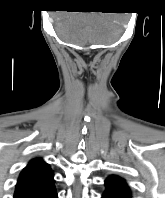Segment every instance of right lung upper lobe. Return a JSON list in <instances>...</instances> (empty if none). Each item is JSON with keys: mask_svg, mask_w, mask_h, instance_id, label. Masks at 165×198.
<instances>
[{"mask_svg": "<svg viewBox=\"0 0 165 198\" xmlns=\"http://www.w3.org/2000/svg\"><path fill=\"white\" fill-rule=\"evenodd\" d=\"M53 187V172L49 165L41 158H35L21 172L14 198H33Z\"/></svg>", "mask_w": 165, "mask_h": 198, "instance_id": "1", "label": "right lung upper lobe"}]
</instances>
